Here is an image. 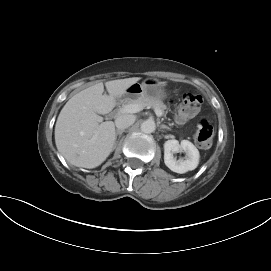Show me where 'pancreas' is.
I'll return each mask as SVG.
<instances>
[{
  "label": "pancreas",
  "instance_id": "cf45deb5",
  "mask_svg": "<svg viewBox=\"0 0 271 271\" xmlns=\"http://www.w3.org/2000/svg\"><path fill=\"white\" fill-rule=\"evenodd\" d=\"M126 103L127 104H139L143 108L151 107L154 109H159L162 111V113L166 109V106L164 105V103L162 101L155 99V98L145 97V96L139 97L137 99H128V100H126Z\"/></svg>",
  "mask_w": 271,
  "mask_h": 271
}]
</instances>
